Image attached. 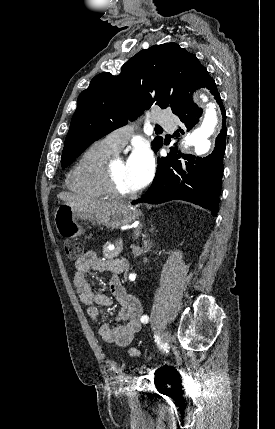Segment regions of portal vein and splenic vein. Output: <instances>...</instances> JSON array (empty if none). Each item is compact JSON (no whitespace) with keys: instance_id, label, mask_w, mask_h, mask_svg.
<instances>
[{"instance_id":"1","label":"portal vein and splenic vein","mask_w":275,"mask_h":429,"mask_svg":"<svg viewBox=\"0 0 275 429\" xmlns=\"http://www.w3.org/2000/svg\"><path fill=\"white\" fill-rule=\"evenodd\" d=\"M117 246H120V247H122L123 246V242H122V240H119L118 242H117ZM115 247L114 246H109V250H113Z\"/></svg>"}]
</instances>
